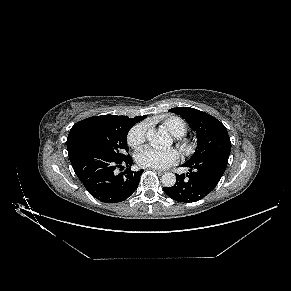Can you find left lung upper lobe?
I'll list each match as a JSON object with an SVG mask.
<instances>
[{
  "mask_svg": "<svg viewBox=\"0 0 291 291\" xmlns=\"http://www.w3.org/2000/svg\"><path fill=\"white\" fill-rule=\"evenodd\" d=\"M184 118L197 133V148L186 163H195L210 157L228 158L231 142L226 127L213 116L190 107L170 109Z\"/></svg>",
  "mask_w": 291,
  "mask_h": 291,
  "instance_id": "left-lung-upper-lobe-1",
  "label": "left lung upper lobe"
}]
</instances>
